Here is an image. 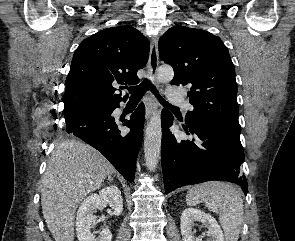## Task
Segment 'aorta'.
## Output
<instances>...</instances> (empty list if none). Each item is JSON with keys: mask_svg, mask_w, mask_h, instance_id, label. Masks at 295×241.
<instances>
[{"mask_svg": "<svg viewBox=\"0 0 295 241\" xmlns=\"http://www.w3.org/2000/svg\"><path fill=\"white\" fill-rule=\"evenodd\" d=\"M174 71L169 65H162L157 70L156 79L159 83H167L173 79ZM161 116L159 112L153 113L147 125L144 139V154L146 166L150 171H154L160 158L161 150Z\"/></svg>", "mask_w": 295, "mask_h": 241, "instance_id": "aorta-1", "label": "aorta"}]
</instances>
